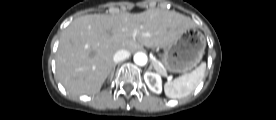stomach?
Returning a JSON list of instances; mask_svg holds the SVG:
<instances>
[{"label": "stomach", "mask_w": 276, "mask_h": 120, "mask_svg": "<svg viewBox=\"0 0 276 120\" xmlns=\"http://www.w3.org/2000/svg\"><path fill=\"white\" fill-rule=\"evenodd\" d=\"M206 47L205 36L196 28L183 31L177 39L166 47L159 72L187 73L201 61Z\"/></svg>", "instance_id": "0dacf381"}]
</instances>
